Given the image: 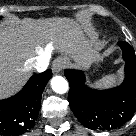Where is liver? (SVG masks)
Wrapping results in <instances>:
<instances>
[{"label": "liver", "mask_w": 136, "mask_h": 136, "mask_svg": "<svg viewBox=\"0 0 136 136\" xmlns=\"http://www.w3.org/2000/svg\"><path fill=\"white\" fill-rule=\"evenodd\" d=\"M95 40L67 18L24 19L0 27V99L24 84L32 60L36 55L50 57L54 44L78 65L88 67L100 51Z\"/></svg>", "instance_id": "6515ba94"}]
</instances>
